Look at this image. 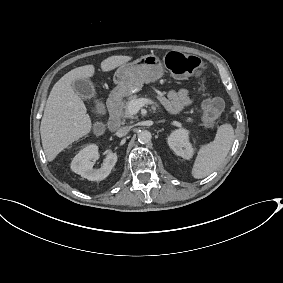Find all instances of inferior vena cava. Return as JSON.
Listing matches in <instances>:
<instances>
[{
	"label": "inferior vena cava",
	"instance_id": "1",
	"mask_svg": "<svg viewBox=\"0 0 283 283\" xmlns=\"http://www.w3.org/2000/svg\"><path fill=\"white\" fill-rule=\"evenodd\" d=\"M129 130H130L129 127H122V128H120L119 130L116 131V135L118 137L125 136L128 133Z\"/></svg>",
	"mask_w": 283,
	"mask_h": 283
}]
</instances>
